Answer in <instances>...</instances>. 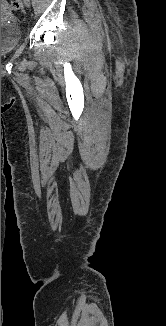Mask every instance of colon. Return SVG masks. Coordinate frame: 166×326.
Segmentation results:
<instances>
[{"label":"colon","mask_w":166,"mask_h":326,"mask_svg":"<svg viewBox=\"0 0 166 326\" xmlns=\"http://www.w3.org/2000/svg\"><path fill=\"white\" fill-rule=\"evenodd\" d=\"M22 7L21 0H13L11 2V8L14 10H18Z\"/></svg>","instance_id":"1"}]
</instances>
